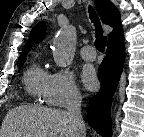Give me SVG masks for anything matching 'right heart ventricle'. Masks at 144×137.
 <instances>
[{
    "label": "right heart ventricle",
    "mask_w": 144,
    "mask_h": 137,
    "mask_svg": "<svg viewBox=\"0 0 144 137\" xmlns=\"http://www.w3.org/2000/svg\"><path fill=\"white\" fill-rule=\"evenodd\" d=\"M49 73L39 63H32L23 78L24 87L28 94L41 97L48 83Z\"/></svg>",
    "instance_id": "1"
}]
</instances>
